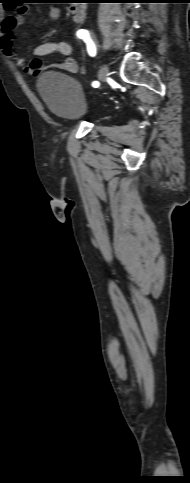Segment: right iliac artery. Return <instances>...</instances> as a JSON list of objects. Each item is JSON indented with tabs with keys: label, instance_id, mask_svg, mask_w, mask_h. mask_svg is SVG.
Here are the masks:
<instances>
[{
	"label": "right iliac artery",
	"instance_id": "obj_1",
	"mask_svg": "<svg viewBox=\"0 0 190 483\" xmlns=\"http://www.w3.org/2000/svg\"><path fill=\"white\" fill-rule=\"evenodd\" d=\"M77 36L86 43L88 54L90 56L94 57L96 55V47H95V44L93 43L92 39L90 38L89 32L87 30L80 29V30L77 31ZM92 86L94 88L98 87L99 82L94 81L92 83Z\"/></svg>",
	"mask_w": 190,
	"mask_h": 483
}]
</instances>
